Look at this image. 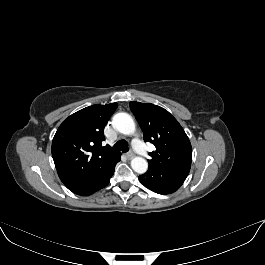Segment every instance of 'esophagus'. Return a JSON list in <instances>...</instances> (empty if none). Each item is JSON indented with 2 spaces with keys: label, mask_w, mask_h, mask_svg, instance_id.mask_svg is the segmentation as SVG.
Listing matches in <instances>:
<instances>
[{
  "label": "esophagus",
  "mask_w": 265,
  "mask_h": 265,
  "mask_svg": "<svg viewBox=\"0 0 265 265\" xmlns=\"http://www.w3.org/2000/svg\"><path fill=\"white\" fill-rule=\"evenodd\" d=\"M126 156L130 159L133 158L135 156V154L132 151H129Z\"/></svg>",
  "instance_id": "esophagus-1"
}]
</instances>
